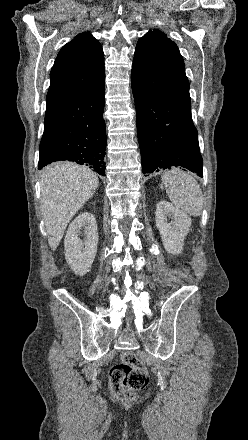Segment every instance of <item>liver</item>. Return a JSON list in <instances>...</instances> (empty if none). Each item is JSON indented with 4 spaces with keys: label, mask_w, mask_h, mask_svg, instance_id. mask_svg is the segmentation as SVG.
<instances>
[{
    "label": "liver",
    "mask_w": 248,
    "mask_h": 440,
    "mask_svg": "<svg viewBox=\"0 0 248 440\" xmlns=\"http://www.w3.org/2000/svg\"><path fill=\"white\" fill-rule=\"evenodd\" d=\"M97 175L73 162L47 166L41 176V210L48 243L56 250L68 223L97 189Z\"/></svg>",
    "instance_id": "liver-1"
}]
</instances>
